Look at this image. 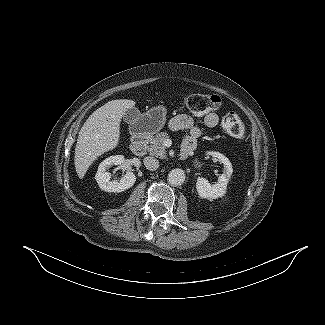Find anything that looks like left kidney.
<instances>
[{
    "label": "left kidney",
    "mask_w": 325,
    "mask_h": 325,
    "mask_svg": "<svg viewBox=\"0 0 325 325\" xmlns=\"http://www.w3.org/2000/svg\"><path fill=\"white\" fill-rule=\"evenodd\" d=\"M214 158H217L224 165V171L219 176L218 182L211 185L208 180L202 177L197 178L196 189L201 198L210 200L218 199L226 194L227 185L232 175L233 169L229 159L219 152H208Z\"/></svg>",
    "instance_id": "1"
}]
</instances>
